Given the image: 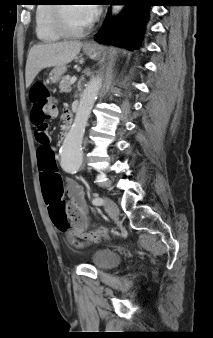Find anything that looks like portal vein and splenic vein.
Listing matches in <instances>:
<instances>
[{
    "label": "portal vein and splenic vein",
    "instance_id": "obj_1",
    "mask_svg": "<svg viewBox=\"0 0 213 338\" xmlns=\"http://www.w3.org/2000/svg\"><path fill=\"white\" fill-rule=\"evenodd\" d=\"M77 80V77L76 76H73L71 79H70V84H74Z\"/></svg>",
    "mask_w": 213,
    "mask_h": 338
}]
</instances>
